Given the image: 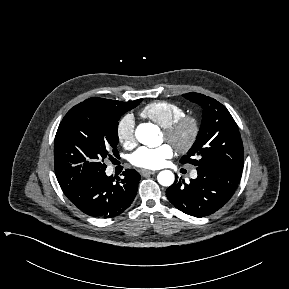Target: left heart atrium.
I'll return each mask as SVG.
<instances>
[{
	"label": "left heart atrium",
	"instance_id": "left-heart-atrium-1",
	"mask_svg": "<svg viewBox=\"0 0 289 289\" xmlns=\"http://www.w3.org/2000/svg\"><path fill=\"white\" fill-rule=\"evenodd\" d=\"M173 155V148L163 144L156 148L140 147L130 156L132 165L143 169H157Z\"/></svg>",
	"mask_w": 289,
	"mask_h": 289
}]
</instances>
